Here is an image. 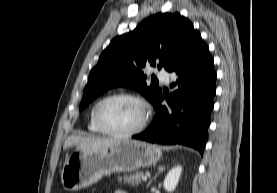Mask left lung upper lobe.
<instances>
[{
    "label": "left lung upper lobe",
    "instance_id": "5c2ea615",
    "mask_svg": "<svg viewBox=\"0 0 277 193\" xmlns=\"http://www.w3.org/2000/svg\"><path fill=\"white\" fill-rule=\"evenodd\" d=\"M197 35L193 24L179 13H159L114 38L90 72L79 109L116 86L134 87L155 104L162 92L153 84L147 86L143 68L157 65L170 71L184 58Z\"/></svg>",
    "mask_w": 277,
    "mask_h": 193
}]
</instances>
